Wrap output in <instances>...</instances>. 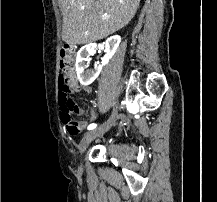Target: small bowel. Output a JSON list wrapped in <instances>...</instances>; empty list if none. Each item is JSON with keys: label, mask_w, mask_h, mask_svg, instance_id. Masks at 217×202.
I'll list each match as a JSON object with an SVG mask.
<instances>
[{"label": "small bowel", "mask_w": 217, "mask_h": 202, "mask_svg": "<svg viewBox=\"0 0 217 202\" xmlns=\"http://www.w3.org/2000/svg\"><path fill=\"white\" fill-rule=\"evenodd\" d=\"M69 78H70V82H71L72 85L74 86L75 90H78V89H79V84H78L77 80L75 79V76H74L73 74H71V75L69 76ZM84 90H85V91H89V88H84ZM78 113H79V114H83V113H84V110L81 109V108H79V109H78ZM90 118H91V119H95V118H96V113H95L93 110L90 111ZM79 124H80V127H81V128H85V127H86V123H85V122H80Z\"/></svg>", "instance_id": "obj_1"}]
</instances>
